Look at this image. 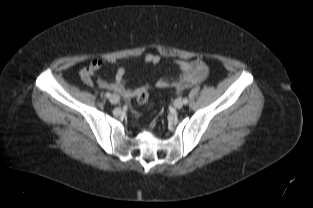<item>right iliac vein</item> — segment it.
I'll return each mask as SVG.
<instances>
[{
	"label": "right iliac vein",
	"mask_w": 313,
	"mask_h": 208,
	"mask_svg": "<svg viewBox=\"0 0 313 208\" xmlns=\"http://www.w3.org/2000/svg\"><path fill=\"white\" fill-rule=\"evenodd\" d=\"M119 101H120V98H119V96L118 95H112L111 97H110V102L112 103V104H118L119 103Z\"/></svg>",
	"instance_id": "obj_1"
}]
</instances>
